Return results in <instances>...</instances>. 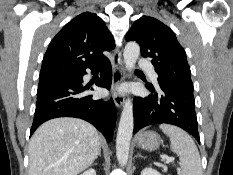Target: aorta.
I'll list each match as a JSON object with an SVG mask.
<instances>
[{
	"label": "aorta",
	"instance_id": "aorta-1",
	"mask_svg": "<svg viewBox=\"0 0 233 175\" xmlns=\"http://www.w3.org/2000/svg\"><path fill=\"white\" fill-rule=\"evenodd\" d=\"M140 55V47L136 42H128L123 52L126 69L131 72ZM134 117L133 104L131 99H126L116 138V156L120 165L124 166L128 162L130 142L133 133Z\"/></svg>",
	"mask_w": 233,
	"mask_h": 175
}]
</instances>
